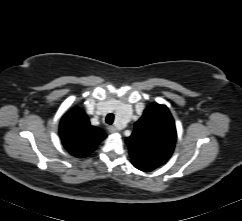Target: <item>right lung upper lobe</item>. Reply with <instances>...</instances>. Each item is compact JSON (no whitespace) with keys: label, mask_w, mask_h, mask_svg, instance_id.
Segmentation results:
<instances>
[{"label":"right lung upper lobe","mask_w":242,"mask_h":221,"mask_svg":"<svg viewBox=\"0 0 242 221\" xmlns=\"http://www.w3.org/2000/svg\"><path fill=\"white\" fill-rule=\"evenodd\" d=\"M59 133L66 150L78 158L92 153L107 137L103 130L90 125L89 118L80 108L72 109L62 117Z\"/></svg>","instance_id":"1"}]
</instances>
